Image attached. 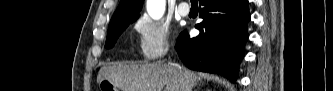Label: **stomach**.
<instances>
[{"label": "stomach", "mask_w": 333, "mask_h": 91, "mask_svg": "<svg viewBox=\"0 0 333 91\" xmlns=\"http://www.w3.org/2000/svg\"><path fill=\"white\" fill-rule=\"evenodd\" d=\"M99 91H119L110 80L103 78L98 84Z\"/></svg>", "instance_id": "stomach-1"}]
</instances>
